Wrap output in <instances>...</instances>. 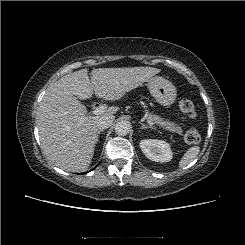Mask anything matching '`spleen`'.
I'll return each mask as SVG.
<instances>
[{
	"mask_svg": "<svg viewBox=\"0 0 245 245\" xmlns=\"http://www.w3.org/2000/svg\"><path fill=\"white\" fill-rule=\"evenodd\" d=\"M199 152H200L199 146H192L189 149H187L183 157L179 161V167L183 168L187 166L189 163H191L194 159L197 158Z\"/></svg>",
	"mask_w": 245,
	"mask_h": 245,
	"instance_id": "obj_1",
	"label": "spleen"
}]
</instances>
